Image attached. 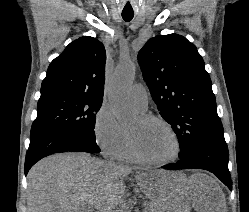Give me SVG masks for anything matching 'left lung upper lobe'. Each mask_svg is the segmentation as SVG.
Segmentation results:
<instances>
[{
	"label": "left lung upper lobe",
	"instance_id": "1",
	"mask_svg": "<svg viewBox=\"0 0 249 212\" xmlns=\"http://www.w3.org/2000/svg\"><path fill=\"white\" fill-rule=\"evenodd\" d=\"M144 81L180 145L179 157L198 141L224 135L205 64L194 44L178 34L150 39L139 51Z\"/></svg>",
	"mask_w": 249,
	"mask_h": 212
}]
</instances>
